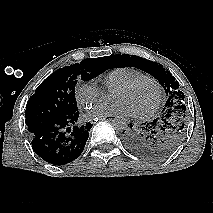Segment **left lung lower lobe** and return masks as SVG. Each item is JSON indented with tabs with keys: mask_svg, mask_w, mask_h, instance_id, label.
<instances>
[{
	"mask_svg": "<svg viewBox=\"0 0 213 213\" xmlns=\"http://www.w3.org/2000/svg\"><path fill=\"white\" fill-rule=\"evenodd\" d=\"M152 121L150 123H147L142 129H133L132 125H130V129L127 131H123V141L125 146L134 154L141 156L142 153L145 152V144L144 139L146 138V134L150 133V131H154L152 128L154 127V124Z\"/></svg>",
	"mask_w": 213,
	"mask_h": 213,
	"instance_id": "1",
	"label": "left lung lower lobe"
}]
</instances>
